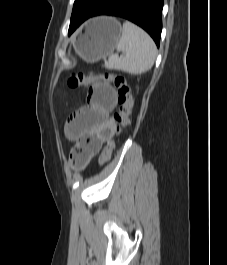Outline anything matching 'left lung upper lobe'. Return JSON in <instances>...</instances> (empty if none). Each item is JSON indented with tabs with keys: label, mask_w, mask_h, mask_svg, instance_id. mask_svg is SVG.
Listing matches in <instances>:
<instances>
[{
	"label": "left lung upper lobe",
	"mask_w": 227,
	"mask_h": 265,
	"mask_svg": "<svg viewBox=\"0 0 227 265\" xmlns=\"http://www.w3.org/2000/svg\"><path fill=\"white\" fill-rule=\"evenodd\" d=\"M104 1L105 0H75L70 27L78 21L88 18Z\"/></svg>",
	"instance_id": "5c2ea615"
}]
</instances>
